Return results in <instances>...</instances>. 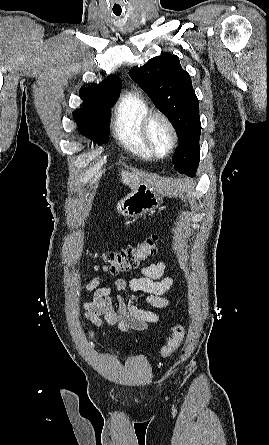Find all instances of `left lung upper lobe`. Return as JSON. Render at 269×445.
Here are the masks:
<instances>
[{
  "label": "left lung upper lobe",
  "instance_id": "1",
  "mask_svg": "<svg viewBox=\"0 0 269 445\" xmlns=\"http://www.w3.org/2000/svg\"><path fill=\"white\" fill-rule=\"evenodd\" d=\"M129 75L176 129L179 144L172 157L175 169L186 175L194 174L200 160L199 102L190 75L182 69L179 58L164 53L142 67L132 68Z\"/></svg>",
  "mask_w": 269,
  "mask_h": 445
}]
</instances>
